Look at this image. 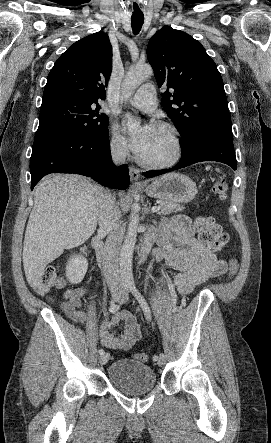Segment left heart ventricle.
<instances>
[{
  "instance_id": "b2bd125f",
  "label": "left heart ventricle",
  "mask_w": 271,
  "mask_h": 443,
  "mask_svg": "<svg viewBox=\"0 0 271 443\" xmlns=\"http://www.w3.org/2000/svg\"><path fill=\"white\" fill-rule=\"evenodd\" d=\"M173 151L174 143L170 132L153 125L148 147L142 156L149 160H164L169 158Z\"/></svg>"
}]
</instances>
